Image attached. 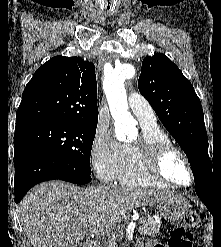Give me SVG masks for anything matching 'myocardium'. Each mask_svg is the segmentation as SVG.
<instances>
[{
  "label": "myocardium",
  "instance_id": "myocardium-1",
  "mask_svg": "<svg viewBox=\"0 0 221 247\" xmlns=\"http://www.w3.org/2000/svg\"><path fill=\"white\" fill-rule=\"evenodd\" d=\"M132 146L139 152L148 172L159 182L176 188H186L192 185L194 173L190 161L184 152L173 143L162 140L151 141L145 134H142ZM170 155H177L184 162L189 174L187 184H179L166 176L163 164L164 160Z\"/></svg>",
  "mask_w": 221,
  "mask_h": 247
}]
</instances>
